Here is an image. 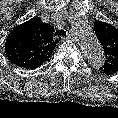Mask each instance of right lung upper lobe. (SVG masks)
<instances>
[{
  "mask_svg": "<svg viewBox=\"0 0 118 118\" xmlns=\"http://www.w3.org/2000/svg\"><path fill=\"white\" fill-rule=\"evenodd\" d=\"M54 28L40 18H32L18 25L8 34L5 53L16 66L35 69L48 61L58 40L53 38Z\"/></svg>",
  "mask_w": 118,
  "mask_h": 118,
  "instance_id": "cb5924a9",
  "label": "right lung upper lobe"
}]
</instances>
